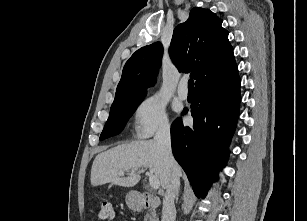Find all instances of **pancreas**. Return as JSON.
<instances>
[{
	"label": "pancreas",
	"instance_id": "1",
	"mask_svg": "<svg viewBox=\"0 0 307 221\" xmlns=\"http://www.w3.org/2000/svg\"><path fill=\"white\" fill-rule=\"evenodd\" d=\"M144 221H159V219L156 215V212H150L146 214Z\"/></svg>",
	"mask_w": 307,
	"mask_h": 221
}]
</instances>
